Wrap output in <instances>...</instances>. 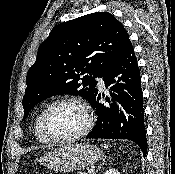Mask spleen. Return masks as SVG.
<instances>
[{
  "mask_svg": "<svg viewBox=\"0 0 175 174\" xmlns=\"http://www.w3.org/2000/svg\"><path fill=\"white\" fill-rule=\"evenodd\" d=\"M103 146H104V148H108L109 147V145H107V144H104Z\"/></svg>",
  "mask_w": 175,
  "mask_h": 174,
  "instance_id": "obj_1",
  "label": "spleen"
}]
</instances>
